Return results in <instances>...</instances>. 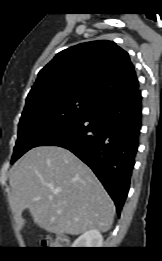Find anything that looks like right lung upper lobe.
<instances>
[{"instance_id": "right-lung-upper-lobe-1", "label": "right lung upper lobe", "mask_w": 162, "mask_h": 261, "mask_svg": "<svg viewBox=\"0 0 162 261\" xmlns=\"http://www.w3.org/2000/svg\"><path fill=\"white\" fill-rule=\"evenodd\" d=\"M139 88L128 53L108 40L81 43L58 53L43 69L27 100L78 94L100 102Z\"/></svg>"}]
</instances>
